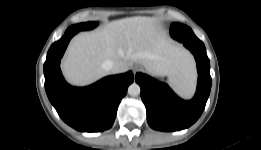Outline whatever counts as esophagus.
<instances>
[{
  "mask_svg": "<svg viewBox=\"0 0 261 150\" xmlns=\"http://www.w3.org/2000/svg\"><path fill=\"white\" fill-rule=\"evenodd\" d=\"M142 70V67L140 65H135L133 68L134 73L139 72Z\"/></svg>",
  "mask_w": 261,
  "mask_h": 150,
  "instance_id": "obj_1",
  "label": "esophagus"
}]
</instances>
